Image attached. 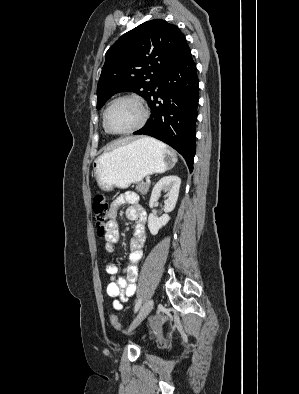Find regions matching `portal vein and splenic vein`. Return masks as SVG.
Segmentation results:
<instances>
[{
  "instance_id": "portal-vein-and-splenic-vein-1",
  "label": "portal vein and splenic vein",
  "mask_w": 299,
  "mask_h": 394,
  "mask_svg": "<svg viewBox=\"0 0 299 394\" xmlns=\"http://www.w3.org/2000/svg\"><path fill=\"white\" fill-rule=\"evenodd\" d=\"M150 182H151L150 179H146V183L150 184Z\"/></svg>"
}]
</instances>
